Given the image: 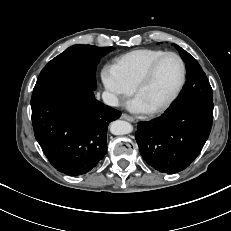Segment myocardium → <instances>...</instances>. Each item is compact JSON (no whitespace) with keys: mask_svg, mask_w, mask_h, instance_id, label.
<instances>
[{"mask_svg":"<svg viewBox=\"0 0 231 231\" xmlns=\"http://www.w3.org/2000/svg\"><path fill=\"white\" fill-rule=\"evenodd\" d=\"M169 56H173L179 61L180 65H181V78H180L179 84L176 87V89L174 90V92L164 102L149 109L148 112L152 113V114L159 113V112L166 110L168 107H170L172 105V103L178 98V96L182 92V90L185 86V83H186V76H187L186 64H185L183 58L175 52H165L164 54L157 57L147 67V69L143 72V74L140 76V78L137 80V82L133 86V92L135 95H137V93L140 91V89L143 88L150 81V79L154 75L155 70L157 69L160 62Z\"/></svg>","mask_w":231,"mask_h":231,"instance_id":"myocardium-1","label":"myocardium"}]
</instances>
